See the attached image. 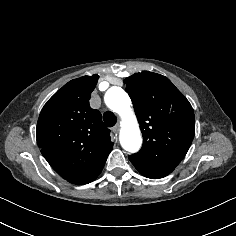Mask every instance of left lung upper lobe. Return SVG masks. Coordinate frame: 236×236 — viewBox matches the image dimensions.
Segmentation results:
<instances>
[{
    "instance_id": "1",
    "label": "left lung upper lobe",
    "mask_w": 236,
    "mask_h": 236,
    "mask_svg": "<svg viewBox=\"0 0 236 236\" xmlns=\"http://www.w3.org/2000/svg\"><path fill=\"white\" fill-rule=\"evenodd\" d=\"M143 135L141 150L130 159L153 167L175 168L195 134L189 101L163 75L143 71L124 80Z\"/></svg>"
}]
</instances>
